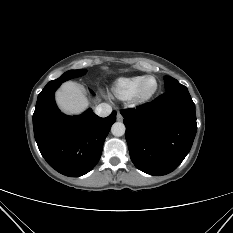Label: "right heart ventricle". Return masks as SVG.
<instances>
[{"label": "right heart ventricle", "mask_w": 233, "mask_h": 233, "mask_svg": "<svg viewBox=\"0 0 233 233\" xmlns=\"http://www.w3.org/2000/svg\"><path fill=\"white\" fill-rule=\"evenodd\" d=\"M144 77L143 75H139L118 79L112 88L113 95L121 100L131 99Z\"/></svg>", "instance_id": "1"}]
</instances>
